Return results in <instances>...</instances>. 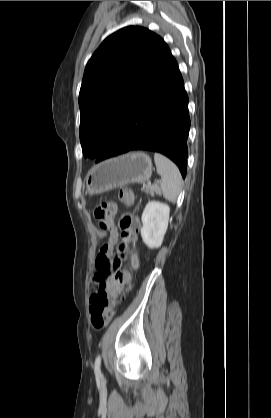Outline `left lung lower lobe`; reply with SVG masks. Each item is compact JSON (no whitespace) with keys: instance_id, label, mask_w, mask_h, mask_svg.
<instances>
[{"instance_id":"0a47b994","label":"left lung lower lobe","mask_w":271,"mask_h":418,"mask_svg":"<svg viewBox=\"0 0 271 418\" xmlns=\"http://www.w3.org/2000/svg\"><path fill=\"white\" fill-rule=\"evenodd\" d=\"M189 128L188 96L171 54L97 162L131 150H149L169 157L185 178Z\"/></svg>"}]
</instances>
